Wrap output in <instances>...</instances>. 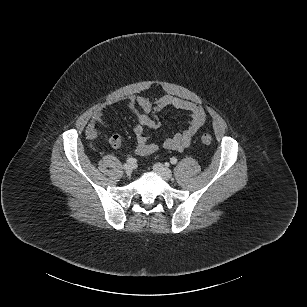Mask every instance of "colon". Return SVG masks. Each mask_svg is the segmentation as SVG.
<instances>
[{
    "mask_svg": "<svg viewBox=\"0 0 307 307\" xmlns=\"http://www.w3.org/2000/svg\"><path fill=\"white\" fill-rule=\"evenodd\" d=\"M201 141L203 144L209 145L212 143L213 138L210 134L203 133L201 135ZM109 142L113 147H118L121 144V137L117 134H114L110 137Z\"/></svg>",
    "mask_w": 307,
    "mask_h": 307,
    "instance_id": "5ec220e1",
    "label": "colon"
}]
</instances>
